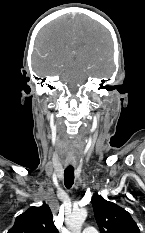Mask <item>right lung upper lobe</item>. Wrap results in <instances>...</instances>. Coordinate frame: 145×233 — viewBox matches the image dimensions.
<instances>
[{"label": "right lung upper lobe", "mask_w": 145, "mask_h": 233, "mask_svg": "<svg viewBox=\"0 0 145 233\" xmlns=\"http://www.w3.org/2000/svg\"><path fill=\"white\" fill-rule=\"evenodd\" d=\"M8 233H59L53 223V215L45 203L41 207H30L19 215Z\"/></svg>", "instance_id": "obj_1"}]
</instances>
